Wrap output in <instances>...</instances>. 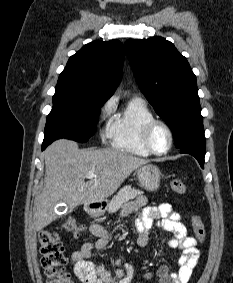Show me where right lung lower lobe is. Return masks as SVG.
Instances as JSON below:
<instances>
[{
  "mask_svg": "<svg viewBox=\"0 0 233 283\" xmlns=\"http://www.w3.org/2000/svg\"><path fill=\"white\" fill-rule=\"evenodd\" d=\"M48 145L42 144V150H44Z\"/></svg>",
  "mask_w": 233,
  "mask_h": 283,
  "instance_id": "98d812e1",
  "label": "right lung lower lobe"
}]
</instances>
